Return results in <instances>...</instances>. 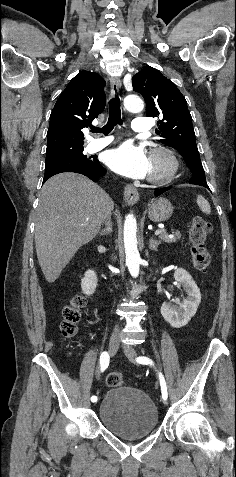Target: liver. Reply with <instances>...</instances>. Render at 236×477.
<instances>
[{"label": "liver", "mask_w": 236, "mask_h": 477, "mask_svg": "<svg viewBox=\"0 0 236 477\" xmlns=\"http://www.w3.org/2000/svg\"><path fill=\"white\" fill-rule=\"evenodd\" d=\"M113 208L110 196L80 174L61 173L45 182L35 221V248L49 283L96 237Z\"/></svg>", "instance_id": "6515ba94"}]
</instances>
